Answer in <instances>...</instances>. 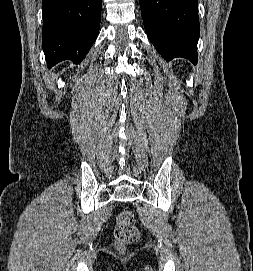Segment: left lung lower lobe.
<instances>
[{
  "label": "left lung lower lobe",
  "mask_w": 253,
  "mask_h": 271,
  "mask_svg": "<svg viewBox=\"0 0 253 271\" xmlns=\"http://www.w3.org/2000/svg\"><path fill=\"white\" fill-rule=\"evenodd\" d=\"M147 36L166 60L183 57L196 64L198 0H139Z\"/></svg>",
  "instance_id": "left-lung-lower-lobe-1"
}]
</instances>
